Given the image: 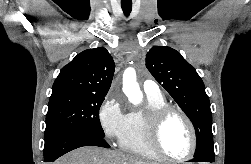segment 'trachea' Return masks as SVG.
I'll use <instances>...</instances> for the list:
<instances>
[{
	"instance_id": "obj_1",
	"label": "trachea",
	"mask_w": 251,
	"mask_h": 164,
	"mask_svg": "<svg viewBox=\"0 0 251 164\" xmlns=\"http://www.w3.org/2000/svg\"><path fill=\"white\" fill-rule=\"evenodd\" d=\"M121 8L125 14V16H129L132 10V2H121Z\"/></svg>"
}]
</instances>
